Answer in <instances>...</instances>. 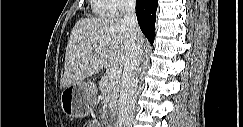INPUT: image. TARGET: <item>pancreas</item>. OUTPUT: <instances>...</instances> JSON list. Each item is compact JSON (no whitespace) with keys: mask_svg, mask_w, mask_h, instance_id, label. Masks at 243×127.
<instances>
[{"mask_svg":"<svg viewBox=\"0 0 243 127\" xmlns=\"http://www.w3.org/2000/svg\"><path fill=\"white\" fill-rule=\"evenodd\" d=\"M99 90L104 102V111L117 108L119 85L117 80H112L108 76H103L99 82Z\"/></svg>","mask_w":243,"mask_h":127,"instance_id":"pancreas-1","label":"pancreas"}]
</instances>
